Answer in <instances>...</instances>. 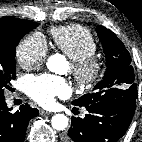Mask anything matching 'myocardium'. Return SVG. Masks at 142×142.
<instances>
[{
    "label": "myocardium",
    "instance_id": "myocardium-1",
    "mask_svg": "<svg viewBox=\"0 0 142 142\" xmlns=\"http://www.w3.org/2000/svg\"><path fill=\"white\" fill-rule=\"evenodd\" d=\"M71 72L78 85L92 87L101 79L104 72V63L95 55L72 60Z\"/></svg>",
    "mask_w": 142,
    "mask_h": 142
}]
</instances>
